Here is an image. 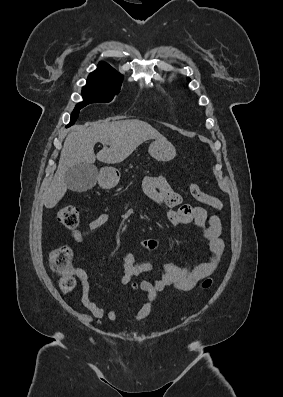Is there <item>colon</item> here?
Masks as SVG:
<instances>
[{
    "mask_svg": "<svg viewBox=\"0 0 283 397\" xmlns=\"http://www.w3.org/2000/svg\"><path fill=\"white\" fill-rule=\"evenodd\" d=\"M189 192L197 201L221 210V201L205 193L195 182L189 184ZM57 220L67 228H75L79 224V209L75 206H64L56 214ZM50 268L59 276L62 292L69 293L76 285L73 277V252L67 246H60L48 252ZM212 284L211 279L202 282V288L208 289Z\"/></svg>",
    "mask_w": 283,
    "mask_h": 397,
    "instance_id": "obj_1",
    "label": "colon"
}]
</instances>
